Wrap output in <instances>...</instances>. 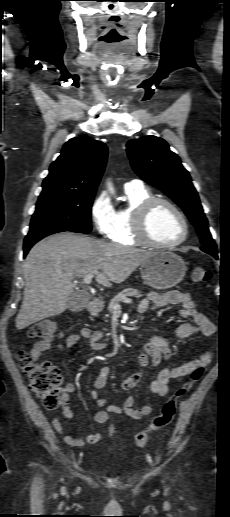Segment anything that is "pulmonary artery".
<instances>
[{
    "label": "pulmonary artery",
    "mask_w": 230,
    "mask_h": 517,
    "mask_svg": "<svg viewBox=\"0 0 230 517\" xmlns=\"http://www.w3.org/2000/svg\"><path fill=\"white\" fill-rule=\"evenodd\" d=\"M142 187H143V183L140 180H132V181L125 183V185H124V188L126 190L133 189V188H142Z\"/></svg>",
    "instance_id": "obj_1"
}]
</instances>
